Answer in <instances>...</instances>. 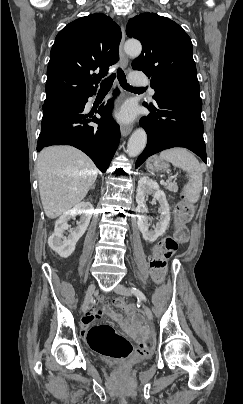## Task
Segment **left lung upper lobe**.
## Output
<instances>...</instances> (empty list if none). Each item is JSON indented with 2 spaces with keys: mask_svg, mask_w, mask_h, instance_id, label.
Returning <instances> with one entry per match:
<instances>
[{
  "mask_svg": "<svg viewBox=\"0 0 243 404\" xmlns=\"http://www.w3.org/2000/svg\"><path fill=\"white\" fill-rule=\"evenodd\" d=\"M126 33L141 41L143 50L132 68L149 76L156 101L167 96L200 98L192 42L181 26L155 13H142L129 20Z\"/></svg>",
  "mask_w": 243,
  "mask_h": 404,
  "instance_id": "left-lung-upper-lobe-1",
  "label": "left lung upper lobe"
}]
</instances>
